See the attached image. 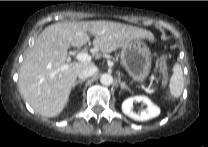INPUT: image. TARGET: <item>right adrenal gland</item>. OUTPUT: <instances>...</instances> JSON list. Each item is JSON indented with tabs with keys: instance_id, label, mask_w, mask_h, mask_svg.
<instances>
[{
	"instance_id": "1",
	"label": "right adrenal gland",
	"mask_w": 208,
	"mask_h": 147,
	"mask_svg": "<svg viewBox=\"0 0 208 147\" xmlns=\"http://www.w3.org/2000/svg\"><path fill=\"white\" fill-rule=\"evenodd\" d=\"M84 81L85 79L76 81L73 87L75 88L78 84H82Z\"/></svg>"
}]
</instances>
